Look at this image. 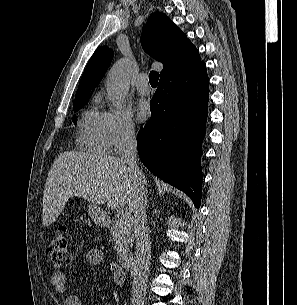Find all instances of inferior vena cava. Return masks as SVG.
Masks as SVG:
<instances>
[{
    "label": "inferior vena cava",
    "instance_id": "inferior-vena-cava-1",
    "mask_svg": "<svg viewBox=\"0 0 297 305\" xmlns=\"http://www.w3.org/2000/svg\"><path fill=\"white\" fill-rule=\"evenodd\" d=\"M120 158L134 175L137 188L132 201L133 227L136 238L135 258L132 274V299L140 305L146 294L147 277L151 259V246L146 218L145 178L137 163V144L134 131L125 128L120 138Z\"/></svg>",
    "mask_w": 297,
    "mask_h": 305
}]
</instances>
